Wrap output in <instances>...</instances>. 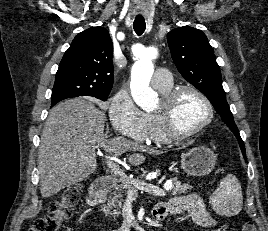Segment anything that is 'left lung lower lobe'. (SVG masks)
<instances>
[{
    "mask_svg": "<svg viewBox=\"0 0 268 231\" xmlns=\"http://www.w3.org/2000/svg\"><path fill=\"white\" fill-rule=\"evenodd\" d=\"M240 148H241V150H242V154H243L244 158L246 159V157H245V155H246V153H245V148H244L243 146H240Z\"/></svg>",
    "mask_w": 268,
    "mask_h": 231,
    "instance_id": "left-lung-lower-lobe-1",
    "label": "left lung lower lobe"
}]
</instances>
